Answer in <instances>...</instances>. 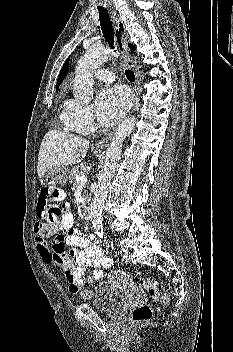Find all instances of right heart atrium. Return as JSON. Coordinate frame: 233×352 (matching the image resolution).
<instances>
[{"label": "right heart atrium", "instance_id": "d8ad5b80", "mask_svg": "<svg viewBox=\"0 0 233 352\" xmlns=\"http://www.w3.org/2000/svg\"><path fill=\"white\" fill-rule=\"evenodd\" d=\"M74 123L78 132H87L94 126V115L90 107L76 101H69Z\"/></svg>", "mask_w": 233, "mask_h": 352}]
</instances>
